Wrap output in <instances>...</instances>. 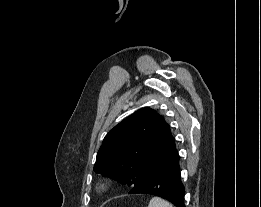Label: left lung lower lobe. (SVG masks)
<instances>
[{"label": "left lung lower lobe", "mask_w": 261, "mask_h": 207, "mask_svg": "<svg viewBox=\"0 0 261 207\" xmlns=\"http://www.w3.org/2000/svg\"><path fill=\"white\" fill-rule=\"evenodd\" d=\"M180 157L153 176L136 184L129 194H151L164 198L176 207H185V189L181 181Z\"/></svg>", "instance_id": "left-lung-lower-lobe-1"}]
</instances>
